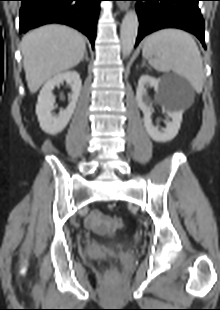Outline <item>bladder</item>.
<instances>
[{"instance_id": "31cf9c89", "label": "bladder", "mask_w": 220, "mask_h": 310, "mask_svg": "<svg viewBox=\"0 0 220 310\" xmlns=\"http://www.w3.org/2000/svg\"><path fill=\"white\" fill-rule=\"evenodd\" d=\"M130 246V243L129 242H125V243H123V244H121V245H119L118 246V248H127V247H129Z\"/></svg>"}]
</instances>
